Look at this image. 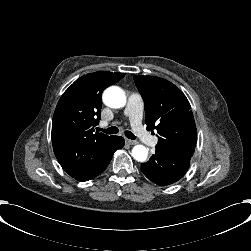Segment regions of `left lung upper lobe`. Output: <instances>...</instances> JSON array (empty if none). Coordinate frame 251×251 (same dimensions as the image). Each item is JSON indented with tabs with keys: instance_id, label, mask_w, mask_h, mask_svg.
<instances>
[{
	"instance_id": "5c2ea615",
	"label": "left lung upper lobe",
	"mask_w": 251,
	"mask_h": 251,
	"mask_svg": "<svg viewBox=\"0 0 251 251\" xmlns=\"http://www.w3.org/2000/svg\"><path fill=\"white\" fill-rule=\"evenodd\" d=\"M143 97L148 130L160 135L156 150L191 158L197 131L191 106L181 90L170 81L156 76H134Z\"/></svg>"
}]
</instances>
